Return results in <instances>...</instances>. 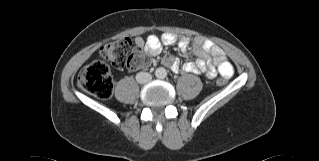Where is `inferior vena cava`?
I'll list each match as a JSON object with an SVG mask.
<instances>
[{"label": "inferior vena cava", "instance_id": "602c4592", "mask_svg": "<svg viewBox=\"0 0 319 161\" xmlns=\"http://www.w3.org/2000/svg\"><path fill=\"white\" fill-rule=\"evenodd\" d=\"M151 79H152L151 74H149L147 72H139L136 75V80L140 84H145V83L151 81Z\"/></svg>", "mask_w": 319, "mask_h": 161}]
</instances>
